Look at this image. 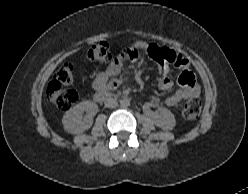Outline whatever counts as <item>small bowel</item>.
I'll return each instance as SVG.
<instances>
[{"label": "small bowel", "instance_id": "1", "mask_svg": "<svg viewBox=\"0 0 248 194\" xmlns=\"http://www.w3.org/2000/svg\"><path fill=\"white\" fill-rule=\"evenodd\" d=\"M155 45V44H152ZM150 44L145 42H137L135 43L131 49L128 50H120L117 54L113 62L108 66V68L104 71L99 72L93 81V86L96 91H108L112 88L117 87L122 83L123 79L119 77L123 64L127 61L130 53L147 49L149 50ZM156 47H159L155 45ZM173 64L181 69V72L178 76L177 82L179 85V89L169 96L166 100V104L170 107H174L178 105L180 102L198 97L200 94L199 87L195 80V75L191 66L186 58L181 55L175 54V59ZM161 76L158 78V87L162 91H168L173 87V81L168 77V63L161 65ZM159 104L158 100L152 99L149 103L150 107H157Z\"/></svg>", "mask_w": 248, "mask_h": 194}]
</instances>
